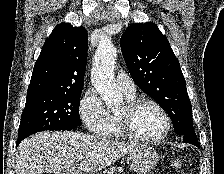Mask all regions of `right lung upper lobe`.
Listing matches in <instances>:
<instances>
[{
    "mask_svg": "<svg viewBox=\"0 0 224 174\" xmlns=\"http://www.w3.org/2000/svg\"><path fill=\"white\" fill-rule=\"evenodd\" d=\"M87 44L85 28L58 24L35 63L27 95L82 90Z\"/></svg>",
    "mask_w": 224,
    "mask_h": 174,
    "instance_id": "1",
    "label": "right lung upper lobe"
}]
</instances>
